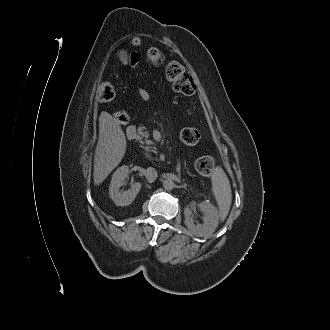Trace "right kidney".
Instances as JSON below:
<instances>
[{"label": "right kidney", "instance_id": "obj_1", "mask_svg": "<svg viewBox=\"0 0 330 330\" xmlns=\"http://www.w3.org/2000/svg\"><path fill=\"white\" fill-rule=\"evenodd\" d=\"M129 168L123 165L113 173L111 183L109 186L110 198L117 206H128L130 205L141 189V183L135 182L131 185V188L127 191L122 192L120 187L123 181L127 178Z\"/></svg>", "mask_w": 330, "mask_h": 330}]
</instances>
